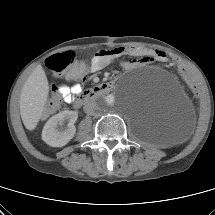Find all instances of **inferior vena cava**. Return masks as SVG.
Masks as SVG:
<instances>
[{
	"instance_id": "602c4592",
	"label": "inferior vena cava",
	"mask_w": 215,
	"mask_h": 215,
	"mask_svg": "<svg viewBox=\"0 0 215 215\" xmlns=\"http://www.w3.org/2000/svg\"><path fill=\"white\" fill-rule=\"evenodd\" d=\"M97 107L96 102H89L84 106V111L86 113H92V111Z\"/></svg>"
}]
</instances>
